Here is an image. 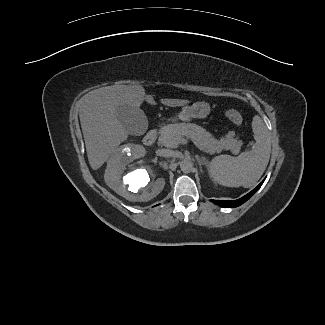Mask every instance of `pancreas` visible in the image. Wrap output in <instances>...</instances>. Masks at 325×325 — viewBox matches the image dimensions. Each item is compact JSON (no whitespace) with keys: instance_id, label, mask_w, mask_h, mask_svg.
Returning a JSON list of instances; mask_svg holds the SVG:
<instances>
[{"instance_id":"cf45deb5","label":"pancreas","mask_w":325,"mask_h":325,"mask_svg":"<svg viewBox=\"0 0 325 325\" xmlns=\"http://www.w3.org/2000/svg\"><path fill=\"white\" fill-rule=\"evenodd\" d=\"M159 143L166 147L176 148L179 138H191L194 144L201 150L210 154L220 153L223 149L239 153L243 144L241 140L234 138V132H228L220 140L215 139L208 131L196 124L175 123L162 127L159 131Z\"/></svg>"}]
</instances>
